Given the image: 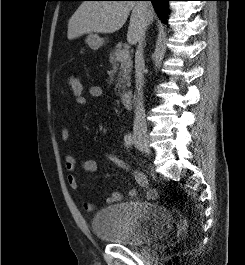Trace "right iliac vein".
<instances>
[{"instance_id":"right-iliac-vein-1","label":"right iliac vein","mask_w":245,"mask_h":265,"mask_svg":"<svg viewBox=\"0 0 245 265\" xmlns=\"http://www.w3.org/2000/svg\"><path fill=\"white\" fill-rule=\"evenodd\" d=\"M135 145L141 152L145 153L148 156L151 155V150H150V147L148 145V141L145 138H143V137L136 138L135 139Z\"/></svg>"}]
</instances>
